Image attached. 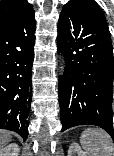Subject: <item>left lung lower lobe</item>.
<instances>
[{"mask_svg": "<svg viewBox=\"0 0 114 156\" xmlns=\"http://www.w3.org/2000/svg\"><path fill=\"white\" fill-rule=\"evenodd\" d=\"M57 40L66 65L59 78L62 131L97 125L114 139V58L105 17L86 3L70 1L60 14Z\"/></svg>", "mask_w": 114, "mask_h": 156, "instance_id": "1", "label": "left lung lower lobe"}]
</instances>
